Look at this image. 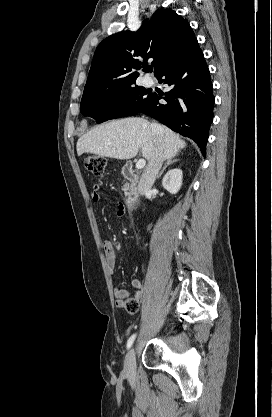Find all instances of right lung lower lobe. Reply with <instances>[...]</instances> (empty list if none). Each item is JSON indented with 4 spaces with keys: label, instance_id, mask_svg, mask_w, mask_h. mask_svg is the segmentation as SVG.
<instances>
[{
    "label": "right lung lower lobe",
    "instance_id": "obj_1",
    "mask_svg": "<svg viewBox=\"0 0 272 417\" xmlns=\"http://www.w3.org/2000/svg\"><path fill=\"white\" fill-rule=\"evenodd\" d=\"M156 77L171 86V90L164 96L152 94L138 113L147 114L193 139L205 156L215 98L208 65L198 42ZM160 99L166 103L159 102Z\"/></svg>",
    "mask_w": 272,
    "mask_h": 417
}]
</instances>
